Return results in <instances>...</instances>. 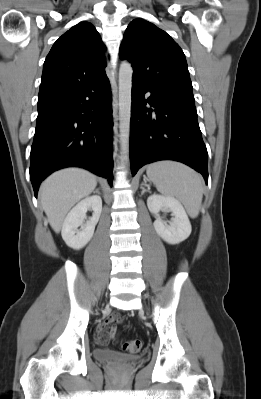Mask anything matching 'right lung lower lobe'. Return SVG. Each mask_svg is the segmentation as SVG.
Masks as SVG:
<instances>
[{
	"label": "right lung lower lobe",
	"mask_w": 261,
	"mask_h": 399,
	"mask_svg": "<svg viewBox=\"0 0 261 399\" xmlns=\"http://www.w3.org/2000/svg\"><path fill=\"white\" fill-rule=\"evenodd\" d=\"M111 112L107 76L38 100L29 169L35 197L43 179L69 166L86 168L112 185Z\"/></svg>",
	"instance_id": "1"
}]
</instances>
